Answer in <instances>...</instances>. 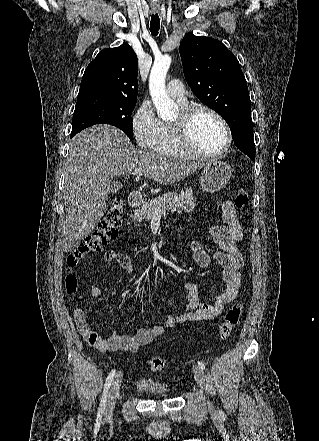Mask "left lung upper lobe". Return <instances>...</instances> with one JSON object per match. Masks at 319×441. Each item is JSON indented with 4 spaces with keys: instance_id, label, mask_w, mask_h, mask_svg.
<instances>
[{
    "instance_id": "1",
    "label": "left lung upper lobe",
    "mask_w": 319,
    "mask_h": 441,
    "mask_svg": "<svg viewBox=\"0 0 319 441\" xmlns=\"http://www.w3.org/2000/svg\"><path fill=\"white\" fill-rule=\"evenodd\" d=\"M179 51L193 93L224 118L237 148L254 161L251 101L237 58L222 42L192 33Z\"/></svg>"
}]
</instances>
